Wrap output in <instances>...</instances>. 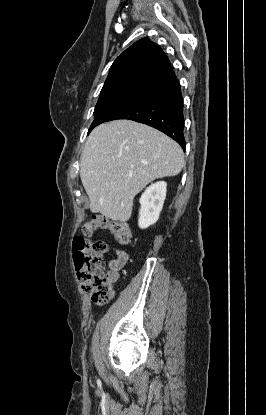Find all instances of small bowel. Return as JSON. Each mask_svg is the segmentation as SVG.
I'll use <instances>...</instances> for the list:
<instances>
[{
  "label": "small bowel",
  "mask_w": 266,
  "mask_h": 415,
  "mask_svg": "<svg viewBox=\"0 0 266 415\" xmlns=\"http://www.w3.org/2000/svg\"><path fill=\"white\" fill-rule=\"evenodd\" d=\"M115 251L117 253V258H108L107 260V264L109 267L108 274L111 277L112 286L118 279L119 270L123 268V266L126 264L129 258L128 254L124 250L115 249ZM113 295H114V291H113ZM92 302L98 305L105 303V302H95L93 300Z\"/></svg>",
  "instance_id": "c3829d8e"
}]
</instances>
